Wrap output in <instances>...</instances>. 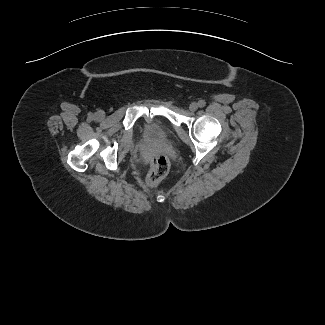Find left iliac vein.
<instances>
[{"instance_id":"1","label":"left iliac vein","mask_w":325,"mask_h":325,"mask_svg":"<svg viewBox=\"0 0 325 325\" xmlns=\"http://www.w3.org/2000/svg\"><path fill=\"white\" fill-rule=\"evenodd\" d=\"M189 109L193 112L196 111L198 109V104L195 102L191 103Z\"/></svg>"}]
</instances>
